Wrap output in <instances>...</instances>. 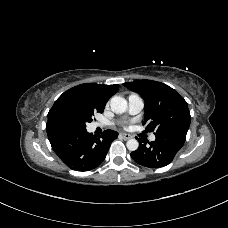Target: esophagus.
<instances>
[{"instance_id":"esophagus-1","label":"esophagus","mask_w":228,"mask_h":228,"mask_svg":"<svg viewBox=\"0 0 228 228\" xmlns=\"http://www.w3.org/2000/svg\"><path fill=\"white\" fill-rule=\"evenodd\" d=\"M120 137H121L122 139H124V140H128V139L132 138L131 135L126 134V133H121V134H120Z\"/></svg>"}]
</instances>
